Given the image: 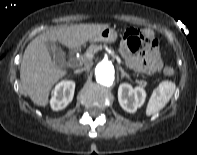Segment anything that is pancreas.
Masks as SVG:
<instances>
[{
	"instance_id": "obj_1",
	"label": "pancreas",
	"mask_w": 197,
	"mask_h": 155,
	"mask_svg": "<svg viewBox=\"0 0 197 155\" xmlns=\"http://www.w3.org/2000/svg\"><path fill=\"white\" fill-rule=\"evenodd\" d=\"M102 45H95V44H92V45H90L89 46V48L86 50V52L84 53V55H82L81 57H80V61L82 62V63H87V62H89L91 59H92V57H93V55L97 52V51H99L100 49H102ZM136 83H138L140 86H142V87H144V86H146V84H147V82L146 81H144V80H136Z\"/></svg>"
}]
</instances>
